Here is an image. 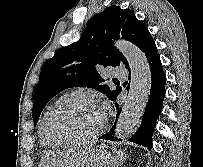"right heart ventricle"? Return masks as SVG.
Here are the masks:
<instances>
[{"instance_id": "1", "label": "right heart ventricle", "mask_w": 203, "mask_h": 167, "mask_svg": "<svg viewBox=\"0 0 203 167\" xmlns=\"http://www.w3.org/2000/svg\"><path fill=\"white\" fill-rule=\"evenodd\" d=\"M64 98H65V96H62V97H60L59 99H57L55 102H53V103L50 105V107L48 108V110L45 112V114H46L53 106H55L59 101H61V100L64 99ZM45 114H44V115H45ZM43 117H44V116H43ZM42 119H43V118H42ZM41 122H42V120H41ZM39 138H40L41 144H42L43 146H45V147L53 148V147H58V146H60V144L55 143V142H52V141L48 140V139L44 136V134H43V132H42V128H41V123H40V126H39Z\"/></svg>"}]
</instances>
